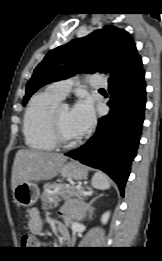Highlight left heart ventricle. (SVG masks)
<instances>
[{"instance_id":"1","label":"left heart ventricle","mask_w":162,"mask_h":261,"mask_svg":"<svg viewBox=\"0 0 162 261\" xmlns=\"http://www.w3.org/2000/svg\"><path fill=\"white\" fill-rule=\"evenodd\" d=\"M57 121L61 133L67 140H75L80 134L75 130L71 123L70 111L68 108L61 107L57 110Z\"/></svg>"}]
</instances>
